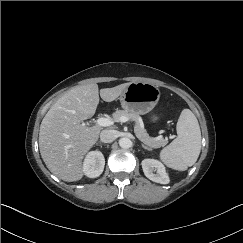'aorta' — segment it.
<instances>
[{"instance_id": "aorta-1", "label": "aorta", "mask_w": 243, "mask_h": 243, "mask_svg": "<svg viewBox=\"0 0 243 243\" xmlns=\"http://www.w3.org/2000/svg\"><path fill=\"white\" fill-rule=\"evenodd\" d=\"M132 145V141L127 138V137H123V138H120L119 140V146L123 149H128L130 148Z\"/></svg>"}]
</instances>
